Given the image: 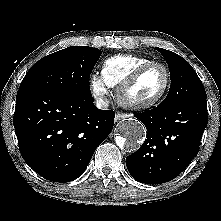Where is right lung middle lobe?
Instances as JSON below:
<instances>
[{"mask_svg":"<svg viewBox=\"0 0 221 221\" xmlns=\"http://www.w3.org/2000/svg\"><path fill=\"white\" fill-rule=\"evenodd\" d=\"M102 51L88 46H71L36 62L25 75L21 88H37L91 96L90 74Z\"/></svg>","mask_w":221,"mask_h":221,"instance_id":"1","label":"right lung middle lobe"}]
</instances>
